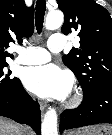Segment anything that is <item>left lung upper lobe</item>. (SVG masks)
<instances>
[{
    "mask_svg": "<svg viewBox=\"0 0 112 135\" xmlns=\"http://www.w3.org/2000/svg\"><path fill=\"white\" fill-rule=\"evenodd\" d=\"M65 15L64 34L76 31L80 48L63 56L64 64L77 77L84 94L112 82V18L93 0H57Z\"/></svg>",
    "mask_w": 112,
    "mask_h": 135,
    "instance_id": "5c2ea615",
    "label": "left lung upper lobe"
}]
</instances>
